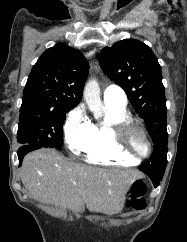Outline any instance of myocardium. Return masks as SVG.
Returning <instances> with one entry per match:
<instances>
[{
    "instance_id": "f54148a6",
    "label": "myocardium",
    "mask_w": 187,
    "mask_h": 242,
    "mask_svg": "<svg viewBox=\"0 0 187 242\" xmlns=\"http://www.w3.org/2000/svg\"><path fill=\"white\" fill-rule=\"evenodd\" d=\"M132 131L141 133L148 145V151L143 156L134 155L127 146V136ZM111 136L113 144L118 152L126 157L134 159L138 163L148 158L152 153L153 146L147 132L130 118H123L114 122L111 125Z\"/></svg>"
}]
</instances>
